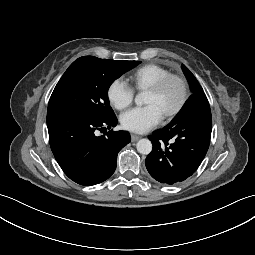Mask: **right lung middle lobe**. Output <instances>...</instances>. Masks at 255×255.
<instances>
[{
    "instance_id": "right-lung-middle-lobe-1",
    "label": "right lung middle lobe",
    "mask_w": 255,
    "mask_h": 255,
    "mask_svg": "<svg viewBox=\"0 0 255 255\" xmlns=\"http://www.w3.org/2000/svg\"><path fill=\"white\" fill-rule=\"evenodd\" d=\"M140 61H117L84 56L75 60L57 83L48 111L73 110L100 119L115 116L108 89L113 81Z\"/></svg>"
}]
</instances>
